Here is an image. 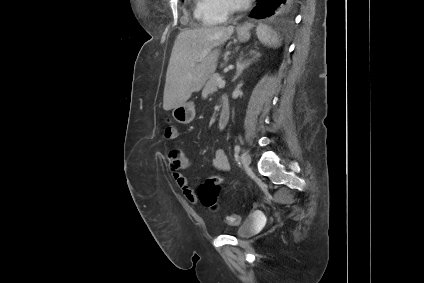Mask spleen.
Listing matches in <instances>:
<instances>
[{
  "label": "spleen",
  "mask_w": 424,
  "mask_h": 283,
  "mask_svg": "<svg viewBox=\"0 0 424 283\" xmlns=\"http://www.w3.org/2000/svg\"><path fill=\"white\" fill-rule=\"evenodd\" d=\"M258 36L260 41L267 46L277 47L280 45L278 35L272 31V29L266 25H261L258 28Z\"/></svg>",
  "instance_id": "3e777b00"
}]
</instances>
